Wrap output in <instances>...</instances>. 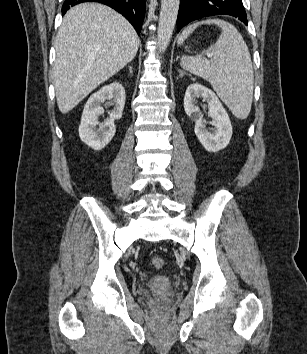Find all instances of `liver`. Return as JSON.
<instances>
[{"mask_svg": "<svg viewBox=\"0 0 307 354\" xmlns=\"http://www.w3.org/2000/svg\"><path fill=\"white\" fill-rule=\"evenodd\" d=\"M139 42L132 25L110 7L81 3L70 8L55 39L53 80L60 112L71 111L130 63Z\"/></svg>", "mask_w": 307, "mask_h": 354, "instance_id": "6515ba94", "label": "liver"}]
</instances>
